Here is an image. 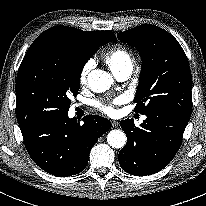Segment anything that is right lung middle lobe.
I'll return each mask as SVG.
<instances>
[{"label":"right lung middle lobe","instance_id":"right-lung-middle-lobe-1","mask_svg":"<svg viewBox=\"0 0 206 206\" xmlns=\"http://www.w3.org/2000/svg\"><path fill=\"white\" fill-rule=\"evenodd\" d=\"M103 44L85 47L55 36H39L29 47L16 81L20 129L67 115L84 65Z\"/></svg>","mask_w":206,"mask_h":206}]
</instances>
